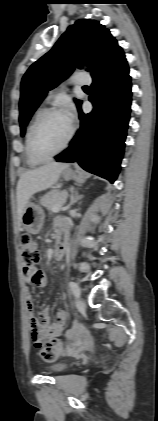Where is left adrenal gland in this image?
Returning <instances> with one entry per match:
<instances>
[{
  "instance_id": "left-adrenal-gland-1",
  "label": "left adrenal gland",
  "mask_w": 158,
  "mask_h": 421,
  "mask_svg": "<svg viewBox=\"0 0 158 421\" xmlns=\"http://www.w3.org/2000/svg\"><path fill=\"white\" fill-rule=\"evenodd\" d=\"M79 199H80V196H78L77 191H75L74 195L72 196V203L71 204L76 203Z\"/></svg>"
}]
</instances>
